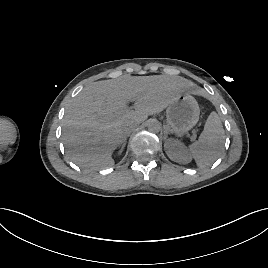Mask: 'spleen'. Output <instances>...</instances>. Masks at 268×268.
I'll return each mask as SVG.
<instances>
[{
	"instance_id": "3e777b00",
	"label": "spleen",
	"mask_w": 268,
	"mask_h": 268,
	"mask_svg": "<svg viewBox=\"0 0 268 268\" xmlns=\"http://www.w3.org/2000/svg\"><path fill=\"white\" fill-rule=\"evenodd\" d=\"M224 142V129L220 116L211 112L199 139L189 146V151L200 168L210 166L217 158Z\"/></svg>"
}]
</instances>
